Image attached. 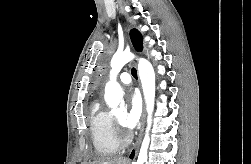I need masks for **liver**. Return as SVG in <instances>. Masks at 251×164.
I'll use <instances>...</instances> for the list:
<instances>
[{
	"mask_svg": "<svg viewBox=\"0 0 251 164\" xmlns=\"http://www.w3.org/2000/svg\"><path fill=\"white\" fill-rule=\"evenodd\" d=\"M89 164H128V161L121 157L102 158Z\"/></svg>",
	"mask_w": 251,
	"mask_h": 164,
	"instance_id": "1",
	"label": "liver"
}]
</instances>
